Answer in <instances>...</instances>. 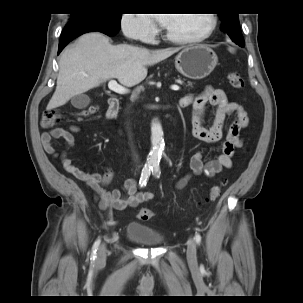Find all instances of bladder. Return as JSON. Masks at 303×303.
Wrapping results in <instances>:
<instances>
[{
	"label": "bladder",
	"mask_w": 303,
	"mask_h": 303,
	"mask_svg": "<svg viewBox=\"0 0 303 303\" xmlns=\"http://www.w3.org/2000/svg\"><path fill=\"white\" fill-rule=\"evenodd\" d=\"M126 237L144 246H158L165 242V236L147 225L131 222L127 226Z\"/></svg>",
	"instance_id": "1"
}]
</instances>
